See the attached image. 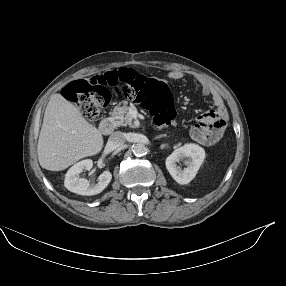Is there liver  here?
Returning a JSON list of instances; mask_svg holds the SVG:
<instances>
[{"mask_svg": "<svg viewBox=\"0 0 286 286\" xmlns=\"http://www.w3.org/2000/svg\"><path fill=\"white\" fill-rule=\"evenodd\" d=\"M100 130L87 122L77 107L60 93L51 96L45 109L37 154L40 166L61 171L103 148Z\"/></svg>", "mask_w": 286, "mask_h": 286, "instance_id": "obj_1", "label": "liver"}]
</instances>
